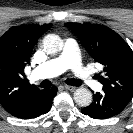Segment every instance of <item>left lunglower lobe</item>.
Returning a JSON list of instances; mask_svg holds the SVG:
<instances>
[{
	"label": "left lung lower lobe",
	"instance_id": "0a47b994",
	"mask_svg": "<svg viewBox=\"0 0 133 133\" xmlns=\"http://www.w3.org/2000/svg\"><path fill=\"white\" fill-rule=\"evenodd\" d=\"M128 102V100L115 95L97 92L93 94V102L83 108L81 112L91 118L107 119L123 111Z\"/></svg>",
	"mask_w": 133,
	"mask_h": 133
}]
</instances>
